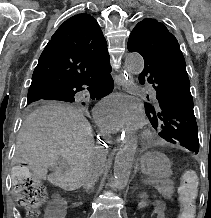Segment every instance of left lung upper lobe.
<instances>
[{
  "mask_svg": "<svg viewBox=\"0 0 211 218\" xmlns=\"http://www.w3.org/2000/svg\"><path fill=\"white\" fill-rule=\"evenodd\" d=\"M128 50L144 59L139 75L152 84L156 96L145 102L146 115L159 135L198 153L197 123L186 71V63L177 39L160 22L146 18L130 34Z\"/></svg>",
  "mask_w": 211,
  "mask_h": 218,
  "instance_id": "1",
  "label": "left lung upper lobe"
}]
</instances>
